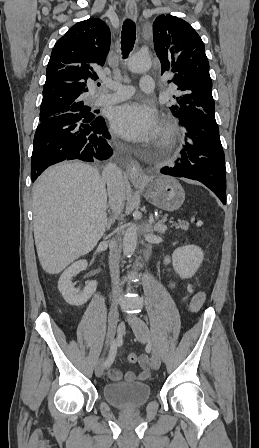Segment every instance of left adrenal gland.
I'll return each mask as SVG.
<instances>
[{
  "instance_id": "1",
  "label": "left adrenal gland",
  "mask_w": 259,
  "mask_h": 448,
  "mask_svg": "<svg viewBox=\"0 0 259 448\" xmlns=\"http://www.w3.org/2000/svg\"><path fill=\"white\" fill-rule=\"evenodd\" d=\"M154 230L155 232H159V234H164L167 228L166 226H164V224H161V222H157V224H154Z\"/></svg>"
}]
</instances>
